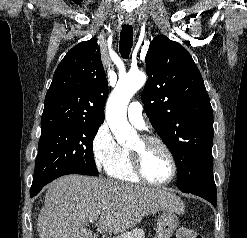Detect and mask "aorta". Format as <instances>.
<instances>
[{"instance_id": "1", "label": "aorta", "mask_w": 247, "mask_h": 238, "mask_svg": "<svg viewBox=\"0 0 247 238\" xmlns=\"http://www.w3.org/2000/svg\"><path fill=\"white\" fill-rule=\"evenodd\" d=\"M146 75L142 72L129 73L120 78L106 105L107 123L117 142L130 143L136 131L127 121V106L132 96L145 84Z\"/></svg>"}]
</instances>
